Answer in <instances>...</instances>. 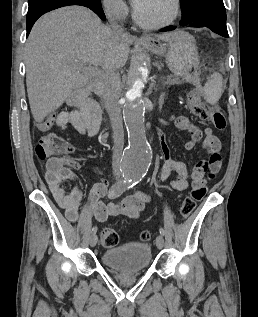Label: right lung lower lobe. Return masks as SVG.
I'll return each mask as SVG.
<instances>
[{"label": "right lung lower lobe", "instance_id": "1", "mask_svg": "<svg viewBox=\"0 0 258 317\" xmlns=\"http://www.w3.org/2000/svg\"><path fill=\"white\" fill-rule=\"evenodd\" d=\"M29 8L27 13V36L36 20L43 14L69 5H81L90 8L102 20H106L100 0H28ZM26 36V37H27Z\"/></svg>", "mask_w": 258, "mask_h": 317}]
</instances>
